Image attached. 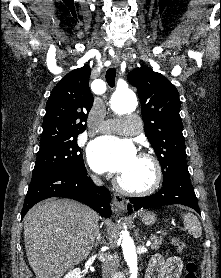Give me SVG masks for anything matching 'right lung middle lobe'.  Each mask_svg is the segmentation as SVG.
<instances>
[{
    "label": "right lung middle lobe",
    "mask_w": 221,
    "mask_h": 278,
    "mask_svg": "<svg viewBox=\"0 0 221 278\" xmlns=\"http://www.w3.org/2000/svg\"><path fill=\"white\" fill-rule=\"evenodd\" d=\"M85 169L77 136L40 143L31 183L56 172H82Z\"/></svg>",
    "instance_id": "right-lung-middle-lobe-1"
}]
</instances>
